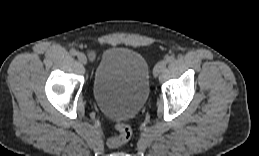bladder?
<instances>
[{
  "label": "bladder",
  "mask_w": 259,
  "mask_h": 156,
  "mask_svg": "<svg viewBox=\"0 0 259 156\" xmlns=\"http://www.w3.org/2000/svg\"><path fill=\"white\" fill-rule=\"evenodd\" d=\"M91 90L107 117L118 121L133 118L149 95L150 70L146 59L128 48L106 49L95 69Z\"/></svg>",
  "instance_id": "obj_1"
}]
</instances>
